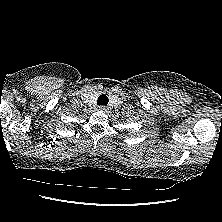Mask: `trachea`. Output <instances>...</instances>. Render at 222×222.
<instances>
[{
  "mask_svg": "<svg viewBox=\"0 0 222 222\" xmlns=\"http://www.w3.org/2000/svg\"><path fill=\"white\" fill-rule=\"evenodd\" d=\"M108 101H109L108 97L106 95L102 94L98 97L97 104L107 106Z\"/></svg>",
  "mask_w": 222,
  "mask_h": 222,
  "instance_id": "1",
  "label": "trachea"
}]
</instances>
